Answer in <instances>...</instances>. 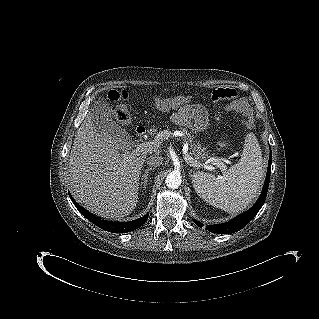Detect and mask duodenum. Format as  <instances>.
<instances>
[{
	"instance_id": "1",
	"label": "duodenum",
	"mask_w": 319,
	"mask_h": 319,
	"mask_svg": "<svg viewBox=\"0 0 319 319\" xmlns=\"http://www.w3.org/2000/svg\"><path fill=\"white\" fill-rule=\"evenodd\" d=\"M146 133L145 126H137L136 128V135L137 136H143Z\"/></svg>"
}]
</instances>
